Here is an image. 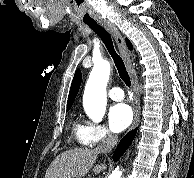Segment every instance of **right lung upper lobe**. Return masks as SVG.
<instances>
[{
	"label": "right lung upper lobe",
	"instance_id": "cb5924a9",
	"mask_svg": "<svg viewBox=\"0 0 194 178\" xmlns=\"http://www.w3.org/2000/svg\"><path fill=\"white\" fill-rule=\"evenodd\" d=\"M127 42V46L129 49H132V44L130 43V41L128 39H126ZM81 80H82V74L81 71L78 69L75 71V75L74 78L72 80V84H71V88H70V92H69V96H68V102H67V110H69L75 100V97L78 93L80 84H81Z\"/></svg>",
	"mask_w": 194,
	"mask_h": 178
}]
</instances>
